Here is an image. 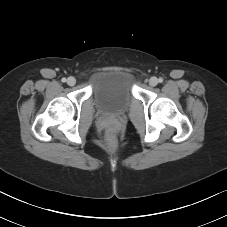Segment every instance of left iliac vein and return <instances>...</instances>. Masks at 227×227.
Here are the masks:
<instances>
[{"mask_svg": "<svg viewBox=\"0 0 227 227\" xmlns=\"http://www.w3.org/2000/svg\"><path fill=\"white\" fill-rule=\"evenodd\" d=\"M157 84H158V79H157L156 77H151V78L149 79V85H150V86L154 87V86H156Z\"/></svg>", "mask_w": 227, "mask_h": 227, "instance_id": "obj_1", "label": "left iliac vein"}]
</instances>
